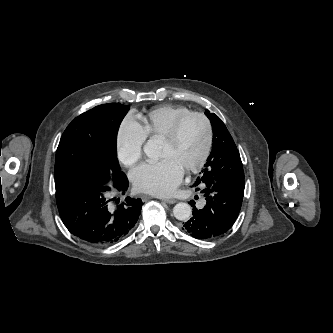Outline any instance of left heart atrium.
<instances>
[{
  "label": "left heart atrium",
  "instance_id": "39dd6f15",
  "mask_svg": "<svg viewBox=\"0 0 333 333\" xmlns=\"http://www.w3.org/2000/svg\"><path fill=\"white\" fill-rule=\"evenodd\" d=\"M182 177L183 168L172 158L145 162L130 172V179L138 191L157 196L170 195Z\"/></svg>",
  "mask_w": 333,
  "mask_h": 333
}]
</instances>
